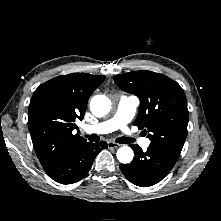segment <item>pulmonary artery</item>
<instances>
[{
  "label": "pulmonary artery",
  "mask_w": 221,
  "mask_h": 221,
  "mask_svg": "<svg viewBox=\"0 0 221 221\" xmlns=\"http://www.w3.org/2000/svg\"><path fill=\"white\" fill-rule=\"evenodd\" d=\"M138 106L139 100L137 97L122 95L119 98L112 118L94 126H85L84 131L87 133L106 134L119 129L127 133L133 140L134 136L129 132L127 125L133 119ZM141 144L143 147H148L150 141L144 139L141 141Z\"/></svg>",
  "instance_id": "obj_1"
}]
</instances>
